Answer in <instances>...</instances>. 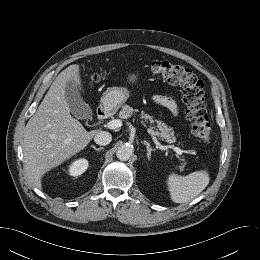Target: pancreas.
I'll use <instances>...</instances> for the list:
<instances>
[{
  "mask_svg": "<svg viewBox=\"0 0 260 260\" xmlns=\"http://www.w3.org/2000/svg\"><path fill=\"white\" fill-rule=\"evenodd\" d=\"M136 112H138V110L133 109L129 105L125 104L122 106L121 111L119 112V117L123 118V119H127V118L132 117L133 114ZM141 119H144V121H142V123L143 122L147 123L149 121L151 124H153L154 122H156L157 131L152 132L154 135L158 136L160 139L165 140L169 143L175 142L176 138L174 136V131H173L172 127L167 126L166 123H164L160 120H155L153 118V116L148 115V114L142 113ZM151 129H155V127H151Z\"/></svg>",
  "mask_w": 260,
  "mask_h": 260,
  "instance_id": "cf45deb5",
  "label": "pancreas"
}]
</instances>
